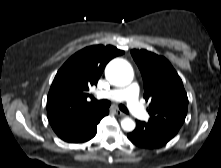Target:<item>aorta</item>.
<instances>
[{
	"instance_id": "aorta-1",
	"label": "aorta",
	"mask_w": 221,
	"mask_h": 168,
	"mask_svg": "<svg viewBox=\"0 0 221 168\" xmlns=\"http://www.w3.org/2000/svg\"><path fill=\"white\" fill-rule=\"evenodd\" d=\"M107 80L115 86H127L133 80V68L124 59L116 58L109 62L105 69ZM135 122L129 117L121 121V127L124 131L131 132L135 129Z\"/></svg>"
}]
</instances>
